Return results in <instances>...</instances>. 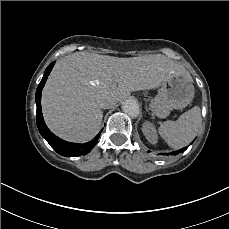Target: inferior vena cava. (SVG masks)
I'll return each mask as SVG.
<instances>
[{"label":"inferior vena cava","instance_id":"obj_1","mask_svg":"<svg viewBox=\"0 0 229 229\" xmlns=\"http://www.w3.org/2000/svg\"><path fill=\"white\" fill-rule=\"evenodd\" d=\"M101 107L102 108H111V105L107 101H104L103 103H101Z\"/></svg>","mask_w":229,"mask_h":229}]
</instances>
